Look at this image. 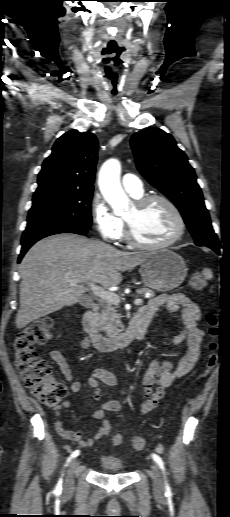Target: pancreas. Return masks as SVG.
Returning <instances> with one entry per match:
<instances>
[{
	"label": "pancreas",
	"mask_w": 230,
	"mask_h": 517,
	"mask_svg": "<svg viewBox=\"0 0 230 517\" xmlns=\"http://www.w3.org/2000/svg\"><path fill=\"white\" fill-rule=\"evenodd\" d=\"M136 293L139 295H144L146 293L150 294V297H154L155 293L149 288L143 287L136 290ZM101 312L97 316V327L105 332L108 337H115L121 332L122 323L120 320V315L117 313V306L113 303H108L106 301H102L100 303Z\"/></svg>",
	"instance_id": "1"
}]
</instances>
